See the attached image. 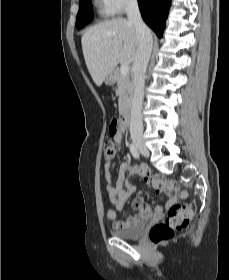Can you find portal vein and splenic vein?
I'll return each mask as SVG.
<instances>
[{
  "instance_id": "obj_1",
  "label": "portal vein and splenic vein",
  "mask_w": 229,
  "mask_h": 280,
  "mask_svg": "<svg viewBox=\"0 0 229 280\" xmlns=\"http://www.w3.org/2000/svg\"><path fill=\"white\" fill-rule=\"evenodd\" d=\"M120 71L123 75H128L129 73V65L127 63H124L121 65Z\"/></svg>"
}]
</instances>
